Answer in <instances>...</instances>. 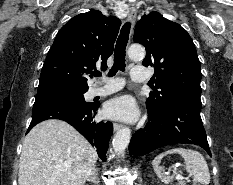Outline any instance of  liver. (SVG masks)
Returning a JSON list of instances; mask_svg holds the SVG:
<instances>
[{
    "label": "liver",
    "mask_w": 233,
    "mask_h": 185,
    "mask_svg": "<svg viewBox=\"0 0 233 185\" xmlns=\"http://www.w3.org/2000/svg\"><path fill=\"white\" fill-rule=\"evenodd\" d=\"M98 155L72 126L50 119L25 137L19 164V185H84Z\"/></svg>",
    "instance_id": "6515ba94"
}]
</instances>
